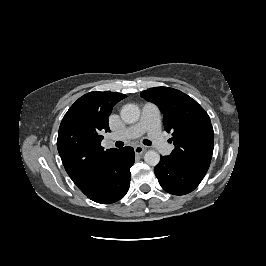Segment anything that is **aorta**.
Returning <instances> with one entry per match:
<instances>
[{
  "instance_id": "aorta-1",
  "label": "aorta",
  "mask_w": 266,
  "mask_h": 266,
  "mask_svg": "<svg viewBox=\"0 0 266 266\" xmlns=\"http://www.w3.org/2000/svg\"><path fill=\"white\" fill-rule=\"evenodd\" d=\"M120 115L124 122L135 123L140 117V109L135 104H126L121 109ZM144 161L150 166H156L160 161V155L154 150H149L144 155Z\"/></svg>"
}]
</instances>
